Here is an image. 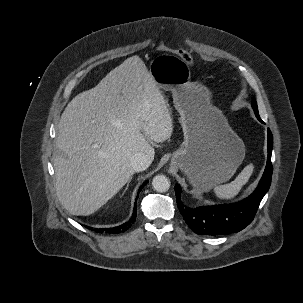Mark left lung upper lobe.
<instances>
[{"mask_svg": "<svg viewBox=\"0 0 303 303\" xmlns=\"http://www.w3.org/2000/svg\"><path fill=\"white\" fill-rule=\"evenodd\" d=\"M252 107H253V110H254L255 114H259L255 99H253V101H252Z\"/></svg>", "mask_w": 303, "mask_h": 303, "instance_id": "left-lung-upper-lobe-1", "label": "left lung upper lobe"}]
</instances>
